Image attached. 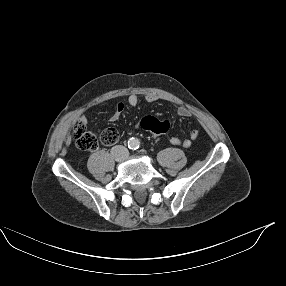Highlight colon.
I'll return each mask as SVG.
<instances>
[{
  "label": "colon",
  "instance_id": "colon-1",
  "mask_svg": "<svg viewBox=\"0 0 286 286\" xmlns=\"http://www.w3.org/2000/svg\"><path fill=\"white\" fill-rule=\"evenodd\" d=\"M142 130L156 138L169 136L171 123L160 114L148 113L144 115L140 121ZM71 137L77 147L84 151L95 150L99 143L109 146L117 142L119 134L115 128H108L102 133L90 131L86 128L82 121H77L71 132Z\"/></svg>",
  "mask_w": 286,
  "mask_h": 286
}]
</instances>
